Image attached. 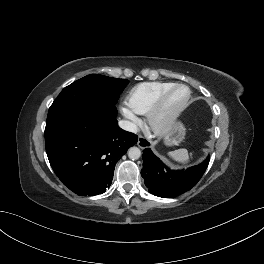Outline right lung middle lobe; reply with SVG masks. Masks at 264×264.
<instances>
[{"label": "right lung middle lobe", "instance_id": "1", "mask_svg": "<svg viewBox=\"0 0 264 264\" xmlns=\"http://www.w3.org/2000/svg\"><path fill=\"white\" fill-rule=\"evenodd\" d=\"M127 83L126 79L97 74L87 75L62 90L49 108L46 122H50L68 107L83 101L115 105Z\"/></svg>", "mask_w": 264, "mask_h": 264}]
</instances>
